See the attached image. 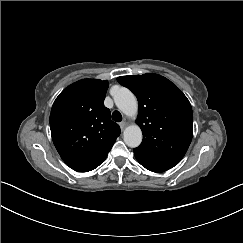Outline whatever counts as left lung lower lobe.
I'll use <instances>...</instances> for the list:
<instances>
[{
    "label": "left lung lower lobe",
    "instance_id": "0a47b994",
    "mask_svg": "<svg viewBox=\"0 0 243 243\" xmlns=\"http://www.w3.org/2000/svg\"><path fill=\"white\" fill-rule=\"evenodd\" d=\"M135 157H136V159L138 160V162H139L142 166H144L146 169H148V170H150V171H152V172H157V173H159V172H164V171L168 170V169H166V168H162V167L155 166V165H153L152 163H150V162H148V161H146V160H144V159H142V158H140V157H138V156H135Z\"/></svg>",
    "mask_w": 243,
    "mask_h": 243
}]
</instances>
